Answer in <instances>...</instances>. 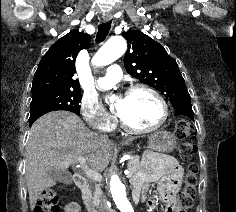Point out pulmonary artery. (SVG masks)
<instances>
[{
  "label": "pulmonary artery",
  "instance_id": "pulmonary-artery-1",
  "mask_svg": "<svg viewBox=\"0 0 236 212\" xmlns=\"http://www.w3.org/2000/svg\"><path fill=\"white\" fill-rule=\"evenodd\" d=\"M122 77V70L119 65L113 64L107 68L106 75L97 82L98 87L107 89L113 87Z\"/></svg>",
  "mask_w": 236,
  "mask_h": 212
}]
</instances>
